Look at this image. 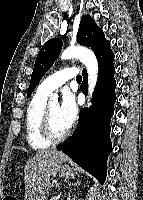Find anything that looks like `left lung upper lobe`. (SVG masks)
<instances>
[{"label":"left lung upper lobe","mask_w":143,"mask_h":200,"mask_svg":"<svg viewBox=\"0 0 143 200\" xmlns=\"http://www.w3.org/2000/svg\"><path fill=\"white\" fill-rule=\"evenodd\" d=\"M77 42L81 45L91 47L96 54L109 41L105 40L102 29L97 26L94 19L89 15H84L80 21ZM61 48V39H50L43 45L34 64L30 86L27 91L28 96L35 89L46 71L53 65Z\"/></svg>","instance_id":"1"}]
</instances>
